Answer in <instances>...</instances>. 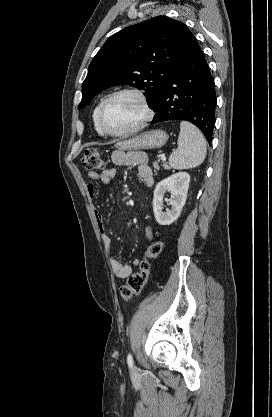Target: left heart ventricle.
I'll use <instances>...</instances> for the list:
<instances>
[{
  "label": "left heart ventricle",
  "instance_id": "b2bd125f",
  "mask_svg": "<svg viewBox=\"0 0 272 417\" xmlns=\"http://www.w3.org/2000/svg\"><path fill=\"white\" fill-rule=\"evenodd\" d=\"M143 116L144 111L138 99L131 95H122L107 106L103 124L110 132H121L139 123Z\"/></svg>",
  "mask_w": 272,
  "mask_h": 417
}]
</instances>
